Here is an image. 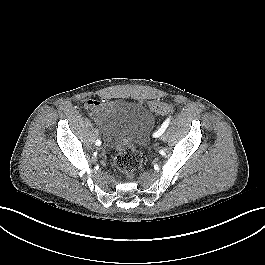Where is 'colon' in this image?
<instances>
[{
    "instance_id": "obj_1",
    "label": "colon",
    "mask_w": 265,
    "mask_h": 265,
    "mask_svg": "<svg viewBox=\"0 0 265 265\" xmlns=\"http://www.w3.org/2000/svg\"><path fill=\"white\" fill-rule=\"evenodd\" d=\"M148 106L153 112L161 115L171 111V106L166 103L151 102ZM142 161L143 155L134 146L128 145L117 150L114 164L127 177L133 178Z\"/></svg>"
}]
</instances>
